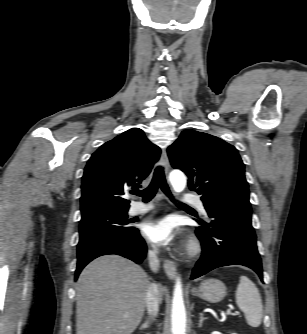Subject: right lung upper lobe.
<instances>
[{
    "label": "right lung upper lobe",
    "mask_w": 307,
    "mask_h": 334,
    "mask_svg": "<svg viewBox=\"0 0 307 334\" xmlns=\"http://www.w3.org/2000/svg\"><path fill=\"white\" fill-rule=\"evenodd\" d=\"M160 157V149L139 128H133L103 144L88 160L82 177V216L102 211L127 212L123 198L136 187Z\"/></svg>",
    "instance_id": "right-lung-upper-lobe-1"
}]
</instances>
